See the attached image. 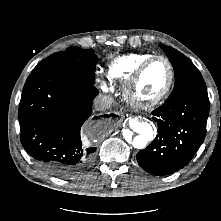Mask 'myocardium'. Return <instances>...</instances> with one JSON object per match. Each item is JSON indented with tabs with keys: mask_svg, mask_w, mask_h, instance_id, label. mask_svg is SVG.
<instances>
[{
	"mask_svg": "<svg viewBox=\"0 0 221 221\" xmlns=\"http://www.w3.org/2000/svg\"><path fill=\"white\" fill-rule=\"evenodd\" d=\"M162 60L166 63L169 71L168 82L163 89V91L155 96L154 98L148 100L140 99L136 93L135 88L141 79L142 75L146 71V69L155 61ZM175 82V71L172 62L165 56L162 55H153L143 61L138 68L134 71V73L130 76V78L124 83L122 92L125 98V101L132 107L137 109H150L161 104L171 93Z\"/></svg>",
	"mask_w": 221,
	"mask_h": 221,
	"instance_id": "f54148a6",
	"label": "myocardium"
}]
</instances>
